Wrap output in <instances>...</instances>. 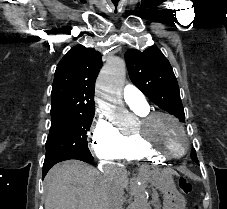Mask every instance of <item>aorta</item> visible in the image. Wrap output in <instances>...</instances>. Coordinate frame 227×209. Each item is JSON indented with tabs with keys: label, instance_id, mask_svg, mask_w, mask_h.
<instances>
[{
	"label": "aorta",
	"instance_id": "1",
	"mask_svg": "<svg viewBox=\"0 0 227 209\" xmlns=\"http://www.w3.org/2000/svg\"><path fill=\"white\" fill-rule=\"evenodd\" d=\"M126 75V65L123 59L113 57L108 59L102 68L96 83L98 105L108 118L125 114L122 106V91ZM134 201L130 209H149L148 193L145 186L138 180L131 184Z\"/></svg>",
	"mask_w": 227,
	"mask_h": 209
}]
</instances>
